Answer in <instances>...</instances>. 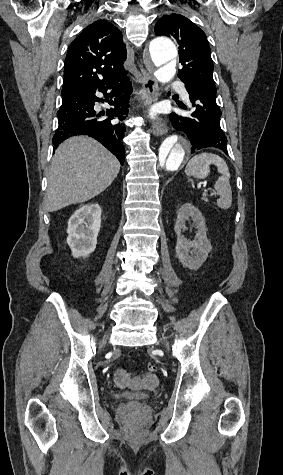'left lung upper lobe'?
Returning a JSON list of instances; mask_svg holds the SVG:
<instances>
[{
	"label": "left lung upper lobe",
	"mask_w": 283,
	"mask_h": 475,
	"mask_svg": "<svg viewBox=\"0 0 283 475\" xmlns=\"http://www.w3.org/2000/svg\"><path fill=\"white\" fill-rule=\"evenodd\" d=\"M155 34L172 37L179 44L181 81L216 88L210 47L205 33L196 24L180 14L164 15L155 25Z\"/></svg>",
	"instance_id": "5c2ea615"
}]
</instances>
